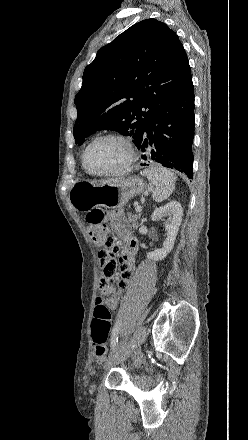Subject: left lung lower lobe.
<instances>
[{
  "label": "left lung lower lobe",
  "instance_id": "0a47b994",
  "mask_svg": "<svg viewBox=\"0 0 248 440\" xmlns=\"http://www.w3.org/2000/svg\"><path fill=\"white\" fill-rule=\"evenodd\" d=\"M194 88L192 81L171 94L144 128L137 146L150 154L142 156L141 166L156 164L193 177Z\"/></svg>",
  "mask_w": 248,
  "mask_h": 440
}]
</instances>
